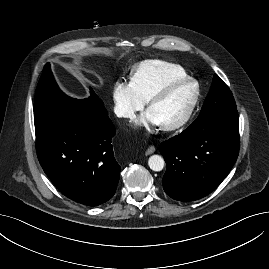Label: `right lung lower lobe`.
Here are the masks:
<instances>
[{"instance_id": "obj_1", "label": "right lung lower lobe", "mask_w": 269, "mask_h": 269, "mask_svg": "<svg viewBox=\"0 0 269 269\" xmlns=\"http://www.w3.org/2000/svg\"><path fill=\"white\" fill-rule=\"evenodd\" d=\"M115 133L108 116L83 109L68 124L37 137L39 162L66 197L100 205L115 194L119 181L120 166L111 145Z\"/></svg>"}]
</instances>
